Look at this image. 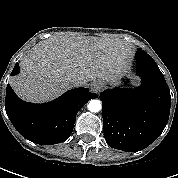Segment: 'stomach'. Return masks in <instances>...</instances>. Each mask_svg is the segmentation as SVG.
<instances>
[{"label":"stomach","instance_id":"obj_1","mask_svg":"<svg viewBox=\"0 0 178 178\" xmlns=\"http://www.w3.org/2000/svg\"><path fill=\"white\" fill-rule=\"evenodd\" d=\"M116 79H117V77H114V78H112V79H110L108 81H105V83H108V84L112 85V84H114L116 82Z\"/></svg>","mask_w":178,"mask_h":178}]
</instances>
